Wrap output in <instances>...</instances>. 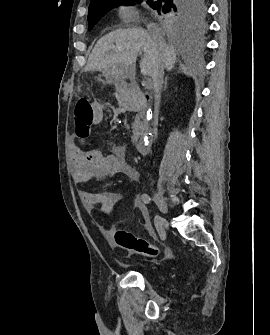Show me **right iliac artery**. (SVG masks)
<instances>
[{"instance_id": "obj_1", "label": "right iliac artery", "mask_w": 270, "mask_h": 335, "mask_svg": "<svg viewBox=\"0 0 270 335\" xmlns=\"http://www.w3.org/2000/svg\"><path fill=\"white\" fill-rule=\"evenodd\" d=\"M141 199L145 204H149L151 202V198L148 194H142ZM154 224H155L156 230H157L160 238L162 240H164L165 239V231H164V228H163V225H162L161 217L155 216Z\"/></svg>"}]
</instances>
